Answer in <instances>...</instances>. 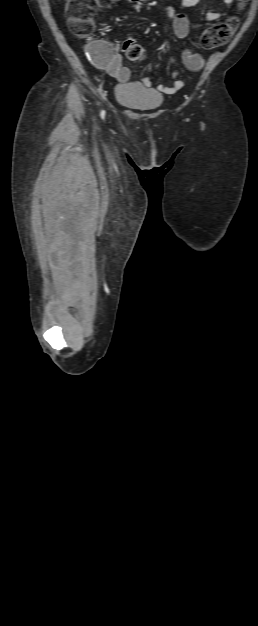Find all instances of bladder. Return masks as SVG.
<instances>
[{"instance_id": "obj_1", "label": "bladder", "mask_w": 258, "mask_h": 626, "mask_svg": "<svg viewBox=\"0 0 258 626\" xmlns=\"http://www.w3.org/2000/svg\"><path fill=\"white\" fill-rule=\"evenodd\" d=\"M114 95L119 104L139 111L156 109L163 102V97L159 92L144 87L138 82L118 84Z\"/></svg>"}]
</instances>
